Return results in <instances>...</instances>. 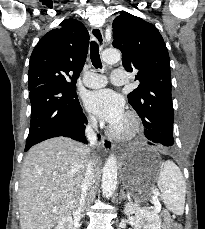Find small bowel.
<instances>
[{
    "label": "small bowel",
    "mask_w": 205,
    "mask_h": 229,
    "mask_svg": "<svg viewBox=\"0 0 205 229\" xmlns=\"http://www.w3.org/2000/svg\"><path fill=\"white\" fill-rule=\"evenodd\" d=\"M170 229H179V227L178 226H172Z\"/></svg>",
    "instance_id": "1"
}]
</instances>
